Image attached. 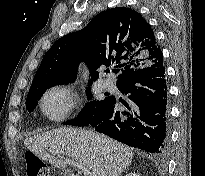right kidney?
<instances>
[{
  "label": "right kidney",
  "instance_id": "1",
  "mask_svg": "<svg viewBox=\"0 0 205 176\" xmlns=\"http://www.w3.org/2000/svg\"><path fill=\"white\" fill-rule=\"evenodd\" d=\"M125 176H141V175H139L137 173H129V174L125 175Z\"/></svg>",
  "mask_w": 205,
  "mask_h": 176
}]
</instances>
